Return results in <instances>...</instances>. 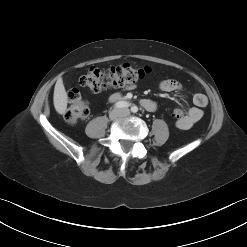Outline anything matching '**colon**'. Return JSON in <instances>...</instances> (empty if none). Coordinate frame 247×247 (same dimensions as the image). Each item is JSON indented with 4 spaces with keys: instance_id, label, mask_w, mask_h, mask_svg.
<instances>
[{
    "instance_id": "colon-1",
    "label": "colon",
    "mask_w": 247,
    "mask_h": 247,
    "mask_svg": "<svg viewBox=\"0 0 247 247\" xmlns=\"http://www.w3.org/2000/svg\"><path fill=\"white\" fill-rule=\"evenodd\" d=\"M148 69L130 64H121L107 70L97 67L90 68L81 78V86L92 92H100L109 88L129 87L140 81L147 74ZM68 107L64 114L66 122L71 125L85 120L89 114L87 102L82 98L78 89L72 88L67 93ZM182 108H176L173 116L177 119L184 115Z\"/></svg>"
}]
</instances>
